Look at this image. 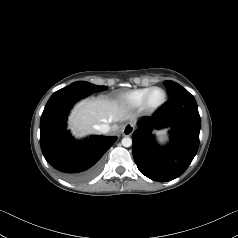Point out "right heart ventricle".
<instances>
[{
    "instance_id": "e07e8e85",
    "label": "right heart ventricle",
    "mask_w": 238,
    "mask_h": 238,
    "mask_svg": "<svg viewBox=\"0 0 238 238\" xmlns=\"http://www.w3.org/2000/svg\"><path fill=\"white\" fill-rule=\"evenodd\" d=\"M150 89L151 87L135 89L122 95L120 99L123 104L132 108H138L142 106L144 98Z\"/></svg>"
}]
</instances>
